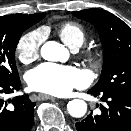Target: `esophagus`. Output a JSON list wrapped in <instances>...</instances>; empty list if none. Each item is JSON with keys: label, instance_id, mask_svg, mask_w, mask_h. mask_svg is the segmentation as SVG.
Instances as JSON below:
<instances>
[{"label": "esophagus", "instance_id": "1", "mask_svg": "<svg viewBox=\"0 0 131 131\" xmlns=\"http://www.w3.org/2000/svg\"><path fill=\"white\" fill-rule=\"evenodd\" d=\"M37 98H38L39 100H49V99H54L53 96H50V95H47V94H39V95L37 96Z\"/></svg>", "mask_w": 131, "mask_h": 131}]
</instances>
